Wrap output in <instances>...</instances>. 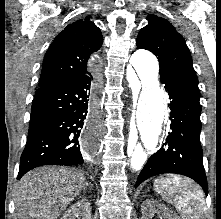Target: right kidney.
Returning a JSON list of instances; mask_svg holds the SVG:
<instances>
[{
  "instance_id": "1",
  "label": "right kidney",
  "mask_w": 221,
  "mask_h": 219,
  "mask_svg": "<svg viewBox=\"0 0 221 219\" xmlns=\"http://www.w3.org/2000/svg\"><path fill=\"white\" fill-rule=\"evenodd\" d=\"M61 219H91L89 201L86 198L78 200L64 212Z\"/></svg>"
}]
</instances>
